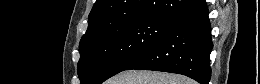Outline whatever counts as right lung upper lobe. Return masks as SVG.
<instances>
[{"label":"right lung upper lobe","instance_id":"right-lung-upper-lobe-1","mask_svg":"<svg viewBox=\"0 0 260 84\" xmlns=\"http://www.w3.org/2000/svg\"><path fill=\"white\" fill-rule=\"evenodd\" d=\"M204 0H97L89 14L88 29L80 45L101 37L127 22L147 18L174 21Z\"/></svg>","mask_w":260,"mask_h":84}]
</instances>
